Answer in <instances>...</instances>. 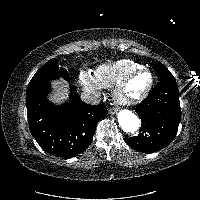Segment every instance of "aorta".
Here are the masks:
<instances>
[{"label": "aorta", "instance_id": "1", "mask_svg": "<svg viewBox=\"0 0 200 200\" xmlns=\"http://www.w3.org/2000/svg\"><path fill=\"white\" fill-rule=\"evenodd\" d=\"M118 122L122 130L126 133H134L138 130L140 119L129 110H121L118 113Z\"/></svg>", "mask_w": 200, "mask_h": 200}]
</instances>
